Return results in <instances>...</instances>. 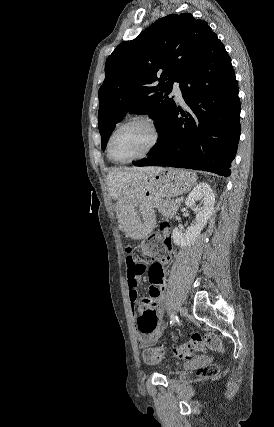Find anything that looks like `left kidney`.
Here are the masks:
<instances>
[{
    "label": "left kidney",
    "mask_w": 274,
    "mask_h": 427,
    "mask_svg": "<svg viewBox=\"0 0 274 427\" xmlns=\"http://www.w3.org/2000/svg\"><path fill=\"white\" fill-rule=\"evenodd\" d=\"M199 200L200 204L196 206V202H199ZM185 204L188 208H193V210H195L196 221L194 225L187 227L184 233H182L181 229H178V227H174L172 239L175 245H180V247L193 245L200 231H202L204 225H206L208 219H210L215 204L213 190H211L206 182H201V184H198V186L190 192Z\"/></svg>",
    "instance_id": "1"
}]
</instances>
